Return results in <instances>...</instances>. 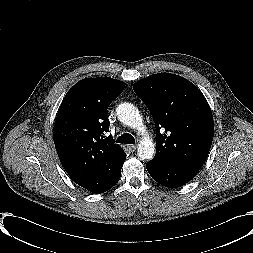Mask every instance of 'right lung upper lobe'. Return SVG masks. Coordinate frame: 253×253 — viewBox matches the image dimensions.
Returning <instances> with one entry per match:
<instances>
[{"label":"right lung upper lobe","mask_w":253,"mask_h":253,"mask_svg":"<svg viewBox=\"0 0 253 253\" xmlns=\"http://www.w3.org/2000/svg\"><path fill=\"white\" fill-rule=\"evenodd\" d=\"M125 84L109 77L86 78L65 95L59 109L54 143L71 179L93 193H101L121 172L124 150L109 131L107 108Z\"/></svg>","instance_id":"obj_1"}]
</instances>
